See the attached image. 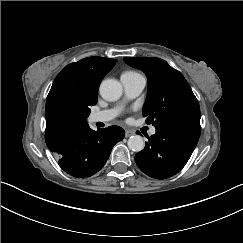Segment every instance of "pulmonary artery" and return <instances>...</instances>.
Instances as JSON below:
<instances>
[{"label":"pulmonary artery","instance_id":"obj_1","mask_svg":"<svg viewBox=\"0 0 243 243\" xmlns=\"http://www.w3.org/2000/svg\"><path fill=\"white\" fill-rule=\"evenodd\" d=\"M124 86L125 96L127 99H133L137 97L145 88L146 80L143 76H140L136 80H121ZM119 112L118 108H112L108 110L99 111L91 114V122L99 123V122H108L111 121ZM156 133V128L152 127L149 130L150 135H154Z\"/></svg>","mask_w":243,"mask_h":243}]
</instances>
